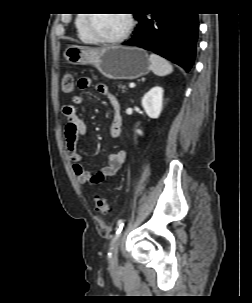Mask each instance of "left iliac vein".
<instances>
[{
	"mask_svg": "<svg viewBox=\"0 0 252 303\" xmlns=\"http://www.w3.org/2000/svg\"><path fill=\"white\" fill-rule=\"evenodd\" d=\"M122 238H123V232L121 233V235L119 236V238L116 240V242L114 243V245L112 247V256H111L112 264H117V262H118V249H119V245L122 241Z\"/></svg>",
	"mask_w": 252,
	"mask_h": 303,
	"instance_id": "left-iliac-vein-1",
	"label": "left iliac vein"
}]
</instances>
